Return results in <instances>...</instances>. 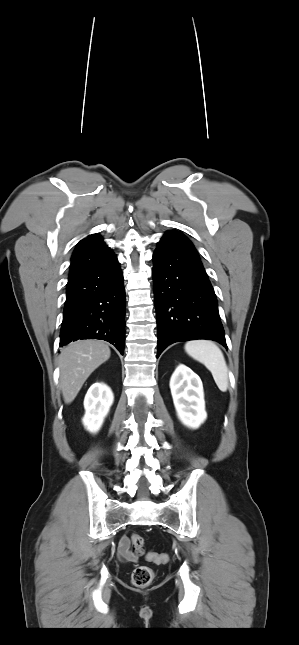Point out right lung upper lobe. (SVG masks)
Listing matches in <instances>:
<instances>
[{
    "label": "right lung upper lobe",
    "mask_w": 299,
    "mask_h": 645,
    "mask_svg": "<svg viewBox=\"0 0 299 645\" xmlns=\"http://www.w3.org/2000/svg\"><path fill=\"white\" fill-rule=\"evenodd\" d=\"M111 255H113V252L105 245L99 234L89 235L87 238L82 239L74 250L69 276L89 265L103 261Z\"/></svg>",
    "instance_id": "cb5924a9"
}]
</instances>
